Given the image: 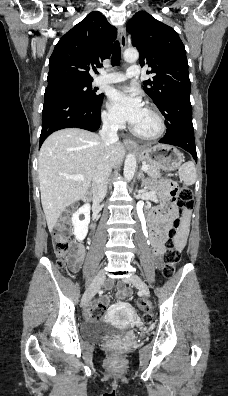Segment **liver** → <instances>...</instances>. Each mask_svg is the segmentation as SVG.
I'll use <instances>...</instances> for the list:
<instances>
[{
  "mask_svg": "<svg viewBox=\"0 0 228 396\" xmlns=\"http://www.w3.org/2000/svg\"><path fill=\"white\" fill-rule=\"evenodd\" d=\"M105 155L111 167L118 165L124 147L120 142L105 146L100 136L79 128L59 130L44 141L38 157V176L50 232L63 210L87 193ZM65 175H83L85 179L75 181Z\"/></svg>",
  "mask_w": 228,
  "mask_h": 396,
  "instance_id": "6515ba94",
  "label": "liver"
}]
</instances>
